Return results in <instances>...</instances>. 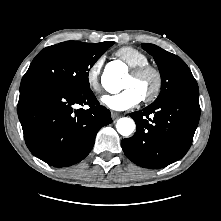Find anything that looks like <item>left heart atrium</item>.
I'll return each instance as SVG.
<instances>
[{
  "instance_id": "left-heart-atrium-1",
  "label": "left heart atrium",
  "mask_w": 221,
  "mask_h": 221,
  "mask_svg": "<svg viewBox=\"0 0 221 221\" xmlns=\"http://www.w3.org/2000/svg\"><path fill=\"white\" fill-rule=\"evenodd\" d=\"M101 100L112 110L124 111L138 105L142 96L134 87H127L118 93L105 95Z\"/></svg>"
}]
</instances>
